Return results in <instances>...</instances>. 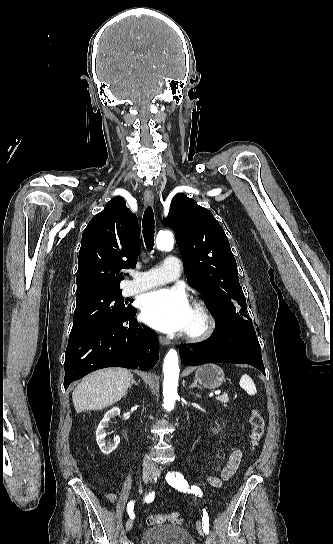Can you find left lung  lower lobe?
<instances>
[{"mask_svg":"<svg viewBox=\"0 0 333 544\" xmlns=\"http://www.w3.org/2000/svg\"><path fill=\"white\" fill-rule=\"evenodd\" d=\"M180 357L181 363L189 366L206 362L245 363L265 374L261 349L246 324L217 326L215 333L205 341L181 345Z\"/></svg>","mask_w":333,"mask_h":544,"instance_id":"0a47b994","label":"left lung lower lobe"}]
</instances>
